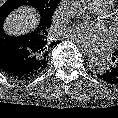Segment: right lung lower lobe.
Returning <instances> with one entry per match:
<instances>
[{
    "instance_id": "98d812e1",
    "label": "right lung lower lobe",
    "mask_w": 118,
    "mask_h": 118,
    "mask_svg": "<svg viewBox=\"0 0 118 118\" xmlns=\"http://www.w3.org/2000/svg\"><path fill=\"white\" fill-rule=\"evenodd\" d=\"M37 46L33 32L20 37L8 36L0 24V71L17 80H30L36 77Z\"/></svg>"
}]
</instances>
